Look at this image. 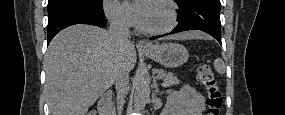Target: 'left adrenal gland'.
Masks as SVG:
<instances>
[{
  "mask_svg": "<svg viewBox=\"0 0 285 115\" xmlns=\"http://www.w3.org/2000/svg\"><path fill=\"white\" fill-rule=\"evenodd\" d=\"M154 84H155L156 92L159 93V88H158V85H157V83H156V79H154Z\"/></svg>",
  "mask_w": 285,
  "mask_h": 115,
  "instance_id": "1",
  "label": "left adrenal gland"
}]
</instances>
